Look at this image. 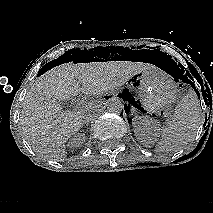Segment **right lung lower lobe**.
<instances>
[{
  "mask_svg": "<svg viewBox=\"0 0 213 213\" xmlns=\"http://www.w3.org/2000/svg\"><path fill=\"white\" fill-rule=\"evenodd\" d=\"M45 66H47V65H45ZM45 66L40 70V74H42V71L44 70V68H45Z\"/></svg>",
  "mask_w": 213,
  "mask_h": 213,
  "instance_id": "right-lung-lower-lobe-1",
  "label": "right lung lower lobe"
}]
</instances>
